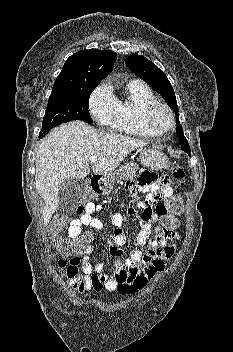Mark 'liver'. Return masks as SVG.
<instances>
[{
    "instance_id": "obj_1",
    "label": "liver",
    "mask_w": 233,
    "mask_h": 352,
    "mask_svg": "<svg viewBox=\"0 0 233 352\" xmlns=\"http://www.w3.org/2000/svg\"><path fill=\"white\" fill-rule=\"evenodd\" d=\"M146 146L139 139L99 133L86 123L74 121L54 128L39 145L36 155L35 186L43 198L44 224L59 204V188L68 179H84L90 173L89 159L96 156L91 169L108 175L133 150Z\"/></svg>"
}]
</instances>
